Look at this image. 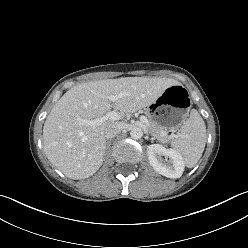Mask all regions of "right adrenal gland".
Listing matches in <instances>:
<instances>
[{
	"label": "right adrenal gland",
	"instance_id": "right-adrenal-gland-1",
	"mask_svg": "<svg viewBox=\"0 0 248 248\" xmlns=\"http://www.w3.org/2000/svg\"><path fill=\"white\" fill-rule=\"evenodd\" d=\"M110 145H111V140H108V141H107V149L110 148Z\"/></svg>",
	"mask_w": 248,
	"mask_h": 248
}]
</instances>
